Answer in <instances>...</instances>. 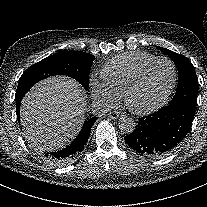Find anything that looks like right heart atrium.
<instances>
[{"mask_svg":"<svg viewBox=\"0 0 207 207\" xmlns=\"http://www.w3.org/2000/svg\"><path fill=\"white\" fill-rule=\"evenodd\" d=\"M89 86L91 88L93 98L98 102L106 106L113 105L116 102L117 96L115 93L107 83L96 74H92L90 76Z\"/></svg>","mask_w":207,"mask_h":207,"instance_id":"d8ad5b80","label":"right heart atrium"}]
</instances>
